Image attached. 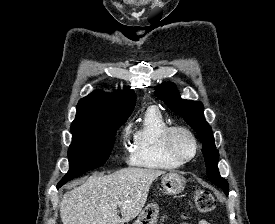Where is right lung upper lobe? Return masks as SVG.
I'll return each instance as SVG.
<instances>
[{
  "instance_id": "1",
  "label": "right lung upper lobe",
  "mask_w": 275,
  "mask_h": 224,
  "mask_svg": "<svg viewBox=\"0 0 275 224\" xmlns=\"http://www.w3.org/2000/svg\"><path fill=\"white\" fill-rule=\"evenodd\" d=\"M135 101V94L131 90L114 94L93 92L79 100L76 118L71 127L126 120Z\"/></svg>"
}]
</instances>
